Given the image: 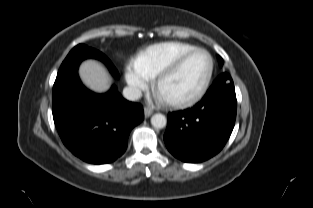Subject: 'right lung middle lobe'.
I'll use <instances>...</instances> for the list:
<instances>
[{
	"label": "right lung middle lobe",
	"mask_w": 313,
	"mask_h": 208,
	"mask_svg": "<svg viewBox=\"0 0 313 208\" xmlns=\"http://www.w3.org/2000/svg\"><path fill=\"white\" fill-rule=\"evenodd\" d=\"M84 46H85V45H82V44L77 45L76 47H74V48L70 51L69 54H75L76 52H78V51L84 49Z\"/></svg>",
	"instance_id": "obj_1"
}]
</instances>
